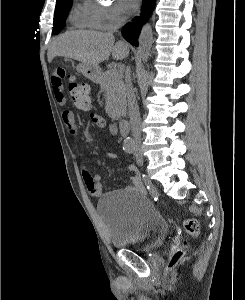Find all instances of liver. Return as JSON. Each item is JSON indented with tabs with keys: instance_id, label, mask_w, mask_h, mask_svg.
Masks as SVG:
<instances>
[{
	"instance_id": "liver-1",
	"label": "liver",
	"mask_w": 245,
	"mask_h": 300,
	"mask_svg": "<svg viewBox=\"0 0 245 300\" xmlns=\"http://www.w3.org/2000/svg\"><path fill=\"white\" fill-rule=\"evenodd\" d=\"M122 60L129 54V48L123 41L115 44L112 33L98 31H69L59 36L48 50V62L54 57L71 58L88 65H98L108 60Z\"/></svg>"
}]
</instances>
